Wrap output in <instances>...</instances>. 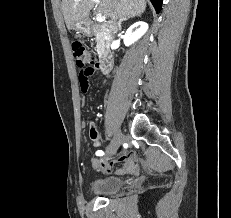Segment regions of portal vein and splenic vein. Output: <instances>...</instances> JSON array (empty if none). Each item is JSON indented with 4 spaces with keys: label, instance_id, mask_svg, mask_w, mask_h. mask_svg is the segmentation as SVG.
Segmentation results:
<instances>
[{
    "label": "portal vein and splenic vein",
    "instance_id": "18ae733b",
    "mask_svg": "<svg viewBox=\"0 0 231 218\" xmlns=\"http://www.w3.org/2000/svg\"><path fill=\"white\" fill-rule=\"evenodd\" d=\"M94 3H96V5H98L100 3V0H93ZM96 21L97 22H103L105 21V16H103L101 13H98L96 15Z\"/></svg>",
    "mask_w": 231,
    "mask_h": 218
}]
</instances>
